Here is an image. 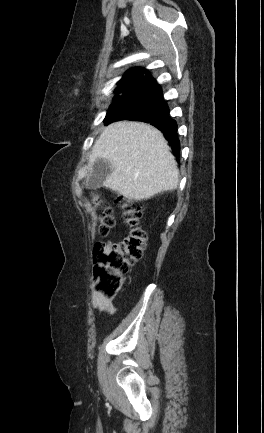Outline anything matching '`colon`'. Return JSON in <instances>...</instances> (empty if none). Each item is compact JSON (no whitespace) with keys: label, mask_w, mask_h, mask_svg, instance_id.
I'll return each instance as SVG.
<instances>
[{"label":"colon","mask_w":264,"mask_h":433,"mask_svg":"<svg viewBox=\"0 0 264 433\" xmlns=\"http://www.w3.org/2000/svg\"><path fill=\"white\" fill-rule=\"evenodd\" d=\"M95 205L102 209L98 230L107 236L115 225L110 207L104 206L99 198ZM118 205L128 226V234L121 241L97 242L93 249V274L96 289L108 299L119 293L123 277L130 267L141 259L146 248L147 235L141 225L143 205L140 201L119 198Z\"/></svg>","instance_id":"5ec220e1"}]
</instances>
